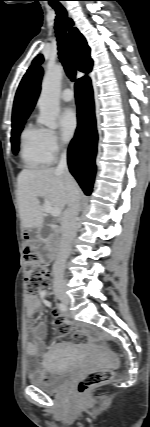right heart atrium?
Segmentation results:
<instances>
[{
	"mask_svg": "<svg viewBox=\"0 0 150 427\" xmlns=\"http://www.w3.org/2000/svg\"><path fill=\"white\" fill-rule=\"evenodd\" d=\"M43 142L45 151L51 161H53L64 148L57 132L50 129H44Z\"/></svg>",
	"mask_w": 150,
	"mask_h": 427,
	"instance_id": "right-heart-atrium-1",
	"label": "right heart atrium"
}]
</instances>
